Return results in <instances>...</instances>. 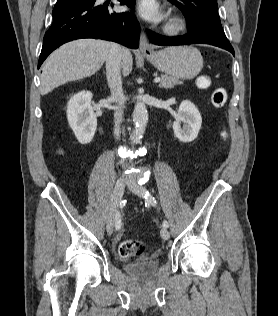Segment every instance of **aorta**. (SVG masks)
Instances as JSON below:
<instances>
[{
    "mask_svg": "<svg viewBox=\"0 0 278 316\" xmlns=\"http://www.w3.org/2000/svg\"><path fill=\"white\" fill-rule=\"evenodd\" d=\"M133 121L135 123L134 133L131 136L132 141L139 142L148 123V111L144 103L137 102L133 111Z\"/></svg>",
    "mask_w": 278,
    "mask_h": 316,
    "instance_id": "obj_1",
    "label": "aorta"
}]
</instances>
